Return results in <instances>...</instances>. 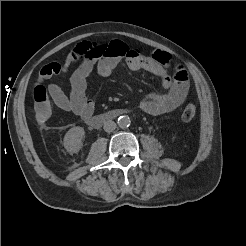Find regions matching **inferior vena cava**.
<instances>
[{
	"mask_svg": "<svg viewBox=\"0 0 246 246\" xmlns=\"http://www.w3.org/2000/svg\"><path fill=\"white\" fill-rule=\"evenodd\" d=\"M115 128H116V123L114 121H111V120L106 121L104 123V126H103L104 131L108 132V133L114 131Z\"/></svg>",
	"mask_w": 246,
	"mask_h": 246,
	"instance_id": "1",
	"label": "inferior vena cava"
}]
</instances>
